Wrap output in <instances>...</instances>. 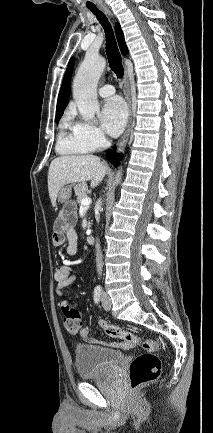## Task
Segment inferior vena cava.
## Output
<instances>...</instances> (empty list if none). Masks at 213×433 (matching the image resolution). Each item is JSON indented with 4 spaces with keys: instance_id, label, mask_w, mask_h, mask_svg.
<instances>
[{
    "instance_id": "602c4592",
    "label": "inferior vena cava",
    "mask_w": 213,
    "mask_h": 433,
    "mask_svg": "<svg viewBox=\"0 0 213 433\" xmlns=\"http://www.w3.org/2000/svg\"><path fill=\"white\" fill-rule=\"evenodd\" d=\"M96 266H97V271L100 275L102 273L103 262H102V253L100 250L99 241H97L96 243Z\"/></svg>"
}]
</instances>
